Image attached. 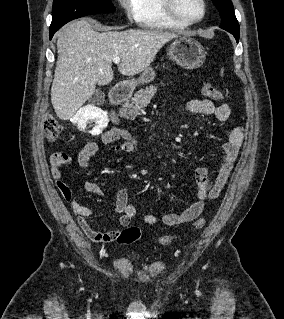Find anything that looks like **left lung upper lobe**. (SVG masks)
Returning <instances> with one entry per match:
<instances>
[{
  "label": "left lung upper lobe",
  "instance_id": "left-lung-upper-lobe-1",
  "mask_svg": "<svg viewBox=\"0 0 284 319\" xmlns=\"http://www.w3.org/2000/svg\"><path fill=\"white\" fill-rule=\"evenodd\" d=\"M217 7L220 16V27L231 34L239 35L240 28L236 19L234 8L231 0H212Z\"/></svg>",
  "mask_w": 284,
  "mask_h": 319
}]
</instances>
